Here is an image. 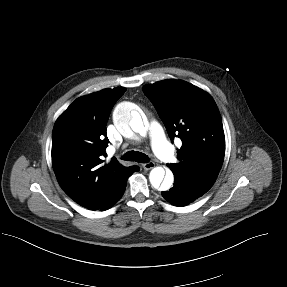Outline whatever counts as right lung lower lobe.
<instances>
[{
  "instance_id": "1",
  "label": "right lung lower lobe",
  "mask_w": 287,
  "mask_h": 287,
  "mask_svg": "<svg viewBox=\"0 0 287 287\" xmlns=\"http://www.w3.org/2000/svg\"><path fill=\"white\" fill-rule=\"evenodd\" d=\"M125 188H126V184L123 186V188L118 192V194L115 196V198L113 199V202L100 208L101 210H107L109 209L110 207H112V205L117 202L123 195L124 191H125Z\"/></svg>"
}]
</instances>
